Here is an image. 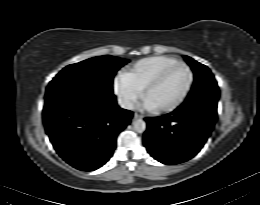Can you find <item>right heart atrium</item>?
I'll return each instance as SVG.
<instances>
[{"label": "right heart atrium", "mask_w": 260, "mask_h": 205, "mask_svg": "<svg viewBox=\"0 0 260 205\" xmlns=\"http://www.w3.org/2000/svg\"><path fill=\"white\" fill-rule=\"evenodd\" d=\"M114 90L119 96L123 105L127 109L133 108L135 103L141 97V90L131 85L124 77L123 74L118 76L114 83Z\"/></svg>", "instance_id": "1"}]
</instances>
